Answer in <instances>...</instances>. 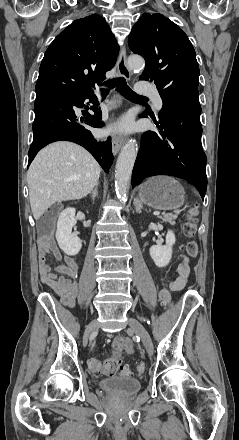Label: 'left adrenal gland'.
I'll use <instances>...</instances> for the list:
<instances>
[{
    "mask_svg": "<svg viewBox=\"0 0 239 440\" xmlns=\"http://www.w3.org/2000/svg\"><path fill=\"white\" fill-rule=\"evenodd\" d=\"M134 206H136V212H138V214H140V212L142 210L141 204H139V202H135Z\"/></svg>",
    "mask_w": 239,
    "mask_h": 440,
    "instance_id": "a2214340",
    "label": "left adrenal gland"
}]
</instances>
